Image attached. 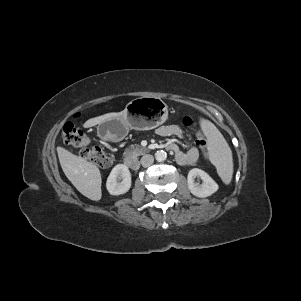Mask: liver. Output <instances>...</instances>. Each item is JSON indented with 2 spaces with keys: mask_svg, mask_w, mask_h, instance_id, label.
I'll return each mask as SVG.
<instances>
[{
  "mask_svg": "<svg viewBox=\"0 0 301 301\" xmlns=\"http://www.w3.org/2000/svg\"><path fill=\"white\" fill-rule=\"evenodd\" d=\"M124 114L125 110L91 118L85 122L84 127H93ZM57 153L62 170L74 187L87 198L94 201L100 200L102 179L99 168L63 147H57Z\"/></svg>",
  "mask_w": 301,
  "mask_h": 301,
  "instance_id": "6515ba94",
  "label": "liver"
}]
</instances>
